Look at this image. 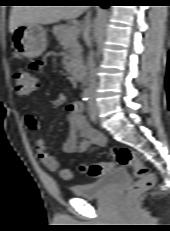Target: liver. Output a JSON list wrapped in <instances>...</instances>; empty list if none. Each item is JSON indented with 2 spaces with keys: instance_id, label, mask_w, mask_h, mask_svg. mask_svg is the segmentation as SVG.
Segmentation results:
<instances>
[{
  "instance_id": "obj_1",
  "label": "liver",
  "mask_w": 170,
  "mask_h": 231,
  "mask_svg": "<svg viewBox=\"0 0 170 231\" xmlns=\"http://www.w3.org/2000/svg\"><path fill=\"white\" fill-rule=\"evenodd\" d=\"M85 6H14L10 13L9 30L11 33L26 24H52L60 20L79 17Z\"/></svg>"
}]
</instances>
